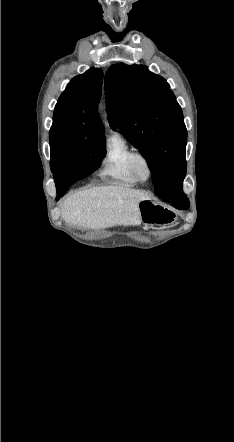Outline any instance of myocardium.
Returning <instances> with one entry per match:
<instances>
[{
    "mask_svg": "<svg viewBox=\"0 0 234 442\" xmlns=\"http://www.w3.org/2000/svg\"><path fill=\"white\" fill-rule=\"evenodd\" d=\"M137 159H142L145 161L147 167H148V175L146 178H142L136 169V160ZM129 168L133 174V176L135 177V179L138 182L144 183L147 182L153 175V166L151 163V160L149 159V157L142 151H133L132 154L129 157Z\"/></svg>",
    "mask_w": 234,
    "mask_h": 442,
    "instance_id": "1",
    "label": "myocardium"
}]
</instances>
